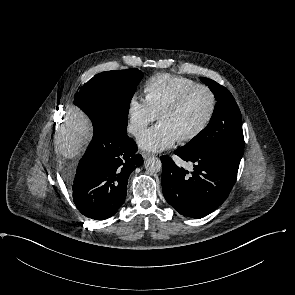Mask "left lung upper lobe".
I'll return each instance as SVG.
<instances>
[{
	"mask_svg": "<svg viewBox=\"0 0 295 295\" xmlns=\"http://www.w3.org/2000/svg\"><path fill=\"white\" fill-rule=\"evenodd\" d=\"M213 92L217 103L207 127L185 146L184 153L220 152L240 161L244 153L242 117L232 94L217 82L201 78Z\"/></svg>",
	"mask_w": 295,
	"mask_h": 295,
	"instance_id": "5c2ea615",
	"label": "left lung upper lobe"
}]
</instances>
